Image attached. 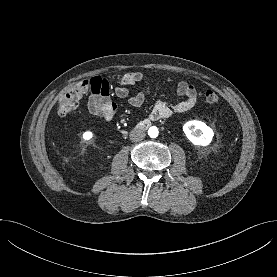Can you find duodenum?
Returning <instances> with one entry per match:
<instances>
[{
	"label": "duodenum",
	"instance_id": "obj_1",
	"mask_svg": "<svg viewBox=\"0 0 277 277\" xmlns=\"http://www.w3.org/2000/svg\"><path fill=\"white\" fill-rule=\"evenodd\" d=\"M149 126H150V121L149 120H143L137 125V128L140 129V130H145Z\"/></svg>",
	"mask_w": 277,
	"mask_h": 277
}]
</instances>
